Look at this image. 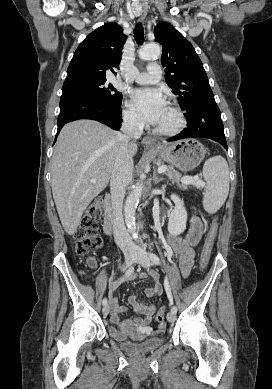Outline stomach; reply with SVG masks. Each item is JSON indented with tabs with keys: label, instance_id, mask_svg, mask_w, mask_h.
<instances>
[{
	"label": "stomach",
	"instance_id": "0dacf381",
	"mask_svg": "<svg viewBox=\"0 0 272 389\" xmlns=\"http://www.w3.org/2000/svg\"><path fill=\"white\" fill-rule=\"evenodd\" d=\"M154 152L163 161L187 172L201 163L205 157L206 149L198 140L192 138L160 146Z\"/></svg>",
	"mask_w": 272,
	"mask_h": 389
}]
</instances>
